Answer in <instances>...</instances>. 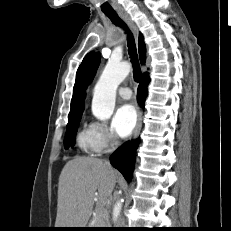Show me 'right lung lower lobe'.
Segmentation results:
<instances>
[{
    "instance_id": "1",
    "label": "right lung lower lobe",
    "mask_w": 231,
    "mask_h": 231,
    "mask_svg": "<svg viewBox=\"0 0 231 231\" xmlns=\"http://www.w3.org/2000/svg\"><path fill=\"white\" fill-rule=\"evenodd\" d=\"M150 82L149 76L141 79L138 87L137 100L139 104H143L147 96V85ZM139 144V138L119 147L111 156L110 162L118 169L127 181H130L135 164V153Z\"/></svg>"
}]
</instances>
